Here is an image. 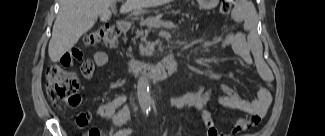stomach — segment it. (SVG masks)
Instances as JSON below:
<instances>
[{"mask_svg": "<svg viewBox=\"0 0 325 136\" xmlns=\"http://www.w3.org/2000/svg\"><path fill=\"white\" fill-rule=\"evenodd\" d=\"M219 1L218 0H199L198 3L202 8H211L215 6ZM173 7L176 5L174 2L171 4Z\"/></svg>", "mask_w": 325, "mask_h": 136, "instance_id": "stomach-1", "label": "stomach"}]
</instances>
